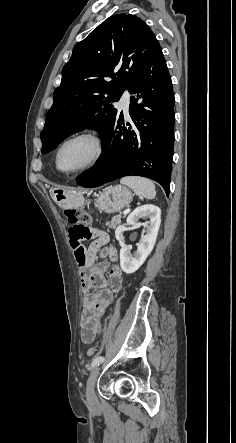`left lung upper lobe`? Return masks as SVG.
I'll return each instance as SVG.
<instances>
[{"label": "left lung upper lobe", "mask_w": 236, "mask_h": 443, "mask_svg": "<svg viewBox=\"0 0 236 443\" xmlns=\"http://www.w3.org/2000/svg\"><path fill=\"white\" fill-rule=\"evenodd\" d=\"M157 43L150 27L130 14L111 16L77 43L53 93L42 153L86 128L102 136L119 114L111 102L133 84Z\"/></svg>", "instance_id": "left-lung-upper-lobe-1"}]
</instances>
